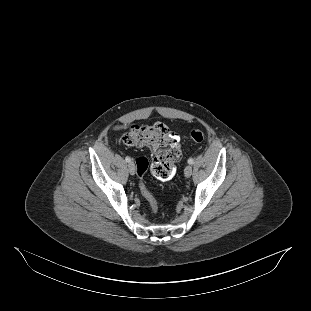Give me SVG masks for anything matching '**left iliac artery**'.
<instances>
[{
	"label": "left iliac artery",
	"instance_id": "1",
	"mask_svg": "<svg viewBox=\"0 0 311 311\" xmlns=\"http://www.w3.org/2000/svg\"><path fill=\"white\" fill-rule=\"evenodd\" d=\"M194 160L192 158L188 159L189 164H193Z\"/></svg>",
	"mask_w": 311,
	"mask_h": 311
}]
</instances>
